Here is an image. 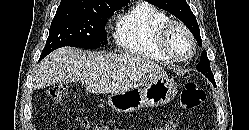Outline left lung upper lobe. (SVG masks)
Here are the masks:
<instances>
[{
	"label": "left lung upper lobe",
	"mask_w": 249,
	"mask_h": 130,
	"mask_svg": "<svg viewBox=\"0 0 249 130\" xmlns=\"http://www.w3.org/2000/svg\"><path fill=\"white\" fill-rule=\"evenodd\" d=\"M148 2L153 4L154 6L168 11L169 13L175 15L178 19H180L194 35L199 46H202L200 29L197 20L186 0H148ZM196 69L204 74L211 81V83L216 86L214 75L211 71L210 62L205 50L202 51L201 59L197 64Z\"/></svg>",
	"instance_id": "1"
}]
</instances>
